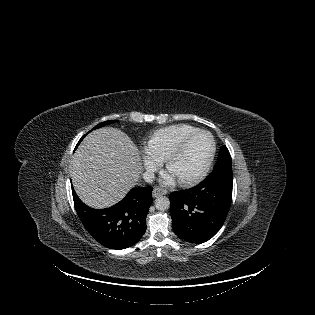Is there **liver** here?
<instances>
[{
    "mask_svg": "<svg viewBox=\"0 0 315 315\" xmlns=\"http://www.w3.org/2000/svg\"><path fill=\"white\" fill-rule=\"evenodd\" d=\"M142 171L136 145L121 130L104 127L88 134L71 164L74 189L93 208L119 202L137 184Z\"/></svg>",
    "mask_w": 315,
    "mask_h": 315,
    "instance_id": "obj_1",
    "label": "liver"
}]
</instances>
